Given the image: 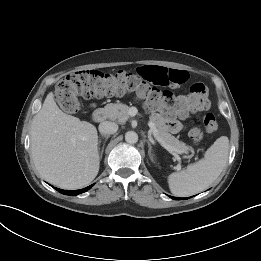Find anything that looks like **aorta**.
Returning a JSON list of instances; mask_svg holds the SVG:
<instances>
[{"mask_svg": "<svg viewBox=\"0 0 261 261\" xmlns=\"http://www.w3.org/2000/svg\"><path fill=\"white\" fill-rule=\"evenodd\" d=\"M125 140L127 143L134 144L138 142V134L134 131H128L125 134Z\"/></svg>", "mask_w": 261, "mask_h": 261, "instance_id": "762f6f07", "label": "aorta"}]
</instances>
